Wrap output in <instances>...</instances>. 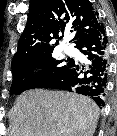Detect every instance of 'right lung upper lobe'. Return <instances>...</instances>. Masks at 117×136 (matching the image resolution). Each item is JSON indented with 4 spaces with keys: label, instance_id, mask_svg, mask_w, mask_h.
I'll use <instances>...</instances> for the list:
<instances>
[{
    "label": "right lung upper lobe",
    "instance_id": "1",
    "mask_svg": "<svg viewBox=\"0 0 117 136\" xmlns=\"http://www.w3.org/2000/svg\"><path fill=\"white\" fill-rule=\"evenodd\" d=\"M98 13L88 0H30L26 27L12 60V70L20 65L51 55L58 45L51 44L65 29H71L79 40L99 25Z\"/></svg>",
    "mask_w": 117,
    "mask_h": 136
}]
</instances>
